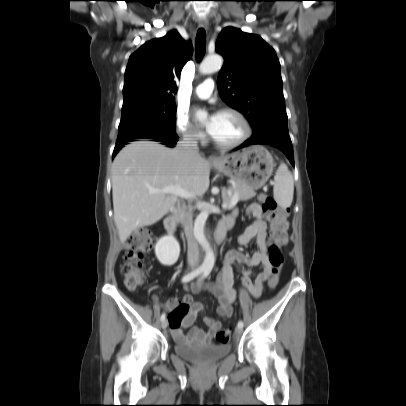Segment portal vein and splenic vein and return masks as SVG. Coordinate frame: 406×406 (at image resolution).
<instances>
[{"label":"portal vein and splenic vein","instance_id":"18ae733b","mask_svg":"<svg viewBox=\"0 0 406 406\" xmlns=\"http://www.w3.org/2000/svg\"><path fill=\"white\" fill-rule=\"evenodd\" d=\"M150 193L151 194H156V193L174 194V195L180 196L182 198H186V199H191V198L196 197L195 194L189 193V192L183 190L182 188H180L179 186H168V187H164L161 189H153V190H150ZM237 202H238V193H235L232 197L230 204L229 205L223 204L222 207L230 210L237 204Z\"/></svg>","mask_w":406,"mask_h":406}]
</instances>
